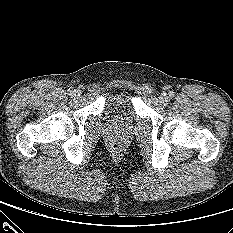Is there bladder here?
Segmentation results:
<instances>
[{"mask_svg":"<svg viewBox=\"0 0 233 233\" xmlns=\"http://www.w3.org/2000/svg\"><path fill=\"white\" fill-rule=\"evenodd\" d=\"M133 95L125 90H117L110 93L106 99V110L112 116H118L125 112H132Z\"/></svg>","mask_w":233,"mask_h":233,"instance_id":"1","label":"bladder"}]
</instances>
